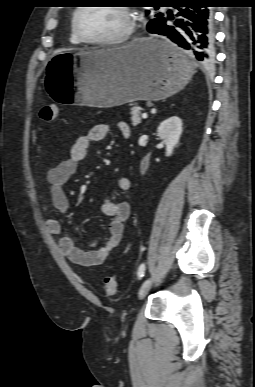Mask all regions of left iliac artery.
Returning <instances> with one entry per match:
<instances>
[{
    "label": "left iliac artery",
    "mask_w": 255,
    "mask_h": 387,
    "mask_svg": "<svg viewBox=\"0 0 255 387\" xmlns=\"http://www.w3.org/2000/svg\"><path fill=\"white\" fill-rule=\"evenodd\" d=\"M145 273V264H141L138 268V277L141 279Z\"/></svg>",
    "instance_id": "obj_1"
}]
</instances>
